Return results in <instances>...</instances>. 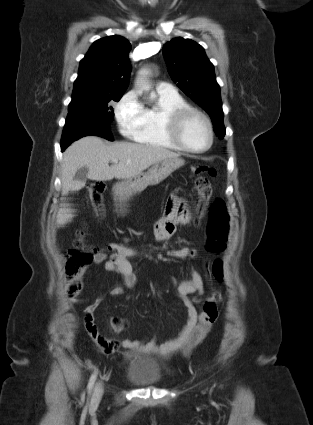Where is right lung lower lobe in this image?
<instances>
[{
    "mask_svg": "<svg viewBox=\"0 0 313 425\" xmlns=\"http://www.w3.org/2000/svg\"><path fill=\"white\" fill-rule=\"evenodd\" d=\"M84 136H101L110 141L113 140L108 123L101 118L90 115H75L70 123H65L61 151L63 152L73 141Z\"/></svg>",
    "mask_w": 313,
    "mask_h": 425,
    "instance_id": "1",
    "label": "right lung lower lobe"
}]
</instances>
